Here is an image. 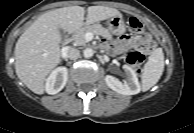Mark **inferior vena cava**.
Segmentation results:
<instances>
[{
  "instance_id": "inferior-vena-cava-1",
  "label": "inferior vena cava",
  "mask_w": 194,
  "mask_h": 133,
  "mask_svg": "<svg viewBox=\"0 0 194 133\" xmlns=\"http://www.w3.org/2000/svg\"><path fill=\"white\" fill-rule=\"evenodd\" d=\"M65 55L67 58L71 60H76L80 57V51L73 47H67L65 51Z\"/></svg>"
}]
</instances>
